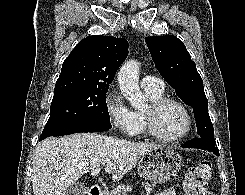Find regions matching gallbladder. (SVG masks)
Here are the masks:
<instances>
[{
	"instance_id": "gallbladder-1",
	"label": "gallbladder",
	"mask_w": 245,
	"mask_h": 195,
	"mask_svg": "<svg viewBox=\"0 0 245 195\" xmlns=\"http://www.w3.org/2000/svg\"><path fill=\"white\" fill-rule=\"evenodd\" d=\"M87 188L81 182H75L67 187L68 195H85Z\"/></svg>"
}]
</instances>
